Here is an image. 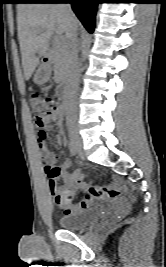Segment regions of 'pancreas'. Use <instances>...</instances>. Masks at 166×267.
Returning a JSON list of instances; mask_svg holds the SVG:
<instances>
[{
	"label": "pancreas",
	"mask_w": 166,
	"mask_h": 267,
	"mask_svg": "<svg viewBox=\"0 0 166 267\" xmlns=\"http://www.w3.org/2000/svg\"><path fill=\"white\" fill-rule=\"evenodd\" d=\"M51 63L54 69V77L58 81H62L68 74V46L66 43H55L50 50Z\"/></svg>",
	"instance_id": "obj_1"
}]
</instances>
